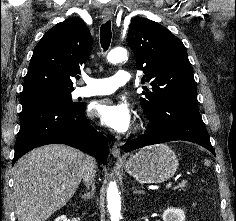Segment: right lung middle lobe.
Returning a JSON list of instances; mask_svg holds the SVG:
<instances>
[{
  "label": "right lung middle lobe",
  "instance_id": "obj_1",
  "mask_svg": "<svg viewBox=\"0 0 236 221\" xmlns=\"http://www.w3.org/2000/svg\"><path fill=\"white\" fill-rule=\"evenodd\" d=\"M72 90L62 89H41L21 94V104L23 107L39 103H56L72 108L79 107L81 103L73 102L71 98Z\"/></svg>",
  "mask_w": 236,
  "mask_h": 221
}]
</instances>
